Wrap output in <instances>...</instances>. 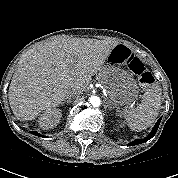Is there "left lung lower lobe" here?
I'll use <instances>...</instances> for the list:
<instances>
[{"label":"left lung lower lobe","mask_w":178,"mask_h":178,"mask_svg":"<svg viewBox=\"0 0 178 178\" xmlns=\"http://www.w3.org/2000/svg\"><path fill=\"white\" fill-rule=\"evenodd\" d=\"M160 122H161V118L156 122V124H155L154 128L152 129L151 133L147 137H145L144 139H136L133 142H131L129 145L130 146L138 145V144L144 143V142L148 141L149 139H151L152 137H154V135L156 134V132L158 130Z\"/></svg>","instance_id":"0a47b994"}]
</instances>
